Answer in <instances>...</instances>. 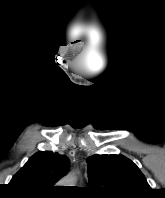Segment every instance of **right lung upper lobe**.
I'll return each mask as SVG.
<instances>
[{"instance_id": "obj_1", "label": "right lung upper lobe", "mask_w": 165, "mask_h": 198, "mask_svg": "<svg viewBox=\"0 0 165 198\" xmlns=\"http://www.w3.org/2000/svg\"><path fill=\"white\" fill-rule=\"evenodd\" d=\"M69 169V159L65 155L43 151L34 154L12 178L9 187L25 196L45 197L54 191V184Z\"/></svg>"}]
</instances>
